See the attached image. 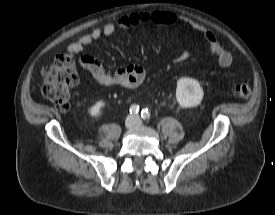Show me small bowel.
<instances>
[{
    "label": "small bowel",
    "instance_id": "obj_1",
    "mask_svg": "<svg viewBox=\"0 0 275 215\" xmlns=\"http://www.w3.org/2000/svg\"><path fill=\"white\" fill-rule=\"evenodd\" d=\"M141 24L147 25H178L185 24L191 30L201 35L209 46L210 54L216 59L218 65L223 69L231 67L233 58L225 50L218 39L209 29L199 25L189 19L180 16L172 11H150L138 12L120 17L116 22L107 23L101 27H96L92 31L84 34L78 40L72 42L68 51L74 55H79L84 48L93 41L102 36H109L118 29H128ZM187 53H183L179 61L186 59ZM78 64L81 68L87 70L96 82L108 87L134 88L141 85L146 78V70L143 66L132 64L124 66L110 72L106 70L101 63L91 55H82L78 58Z\"/></svg>",
    "mask_w": 275,
    "mask_h": 215
}]
</instances>
